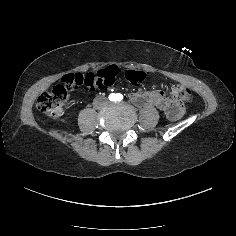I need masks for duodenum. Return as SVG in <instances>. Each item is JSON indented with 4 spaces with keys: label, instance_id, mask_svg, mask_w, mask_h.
<instances>
[{
    "label": "duodenum",
    "instance_id": "410a0bca",
    "mask_svg": "<svg viewBox=\"0 0 236 236\" xmlns=\"http://www.w3.org/2000/svg\"><path fill=\"white\" fill-rule=\"evenodd\" d=\"M132 100L139 106L154 104L162 109L172 120L179 117L183 110L182 104L177 99L162 97L157 93H137L133 96Z\"/></svg>",
    "mask_w": 236,
    "mask_h": 236
}]
</instances>
